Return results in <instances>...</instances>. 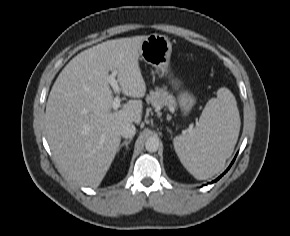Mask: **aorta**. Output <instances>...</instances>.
<instances>
[{"instance_id": "762f6f07", "label": "aorta", "mask_w": 290, "mask_h": 236, "mask_svg": "<svg viewBox=\"0 0 290 236\" xmlns=\"http://www.w3.org/2000/svg\"><path fill=\"white\" fill-rule=\"evenodd\" d=\"M145 148L148 152L153 153L156 152L159 148V140L156 137H150L145 142Z\"/></svg>"}]
</instances>
